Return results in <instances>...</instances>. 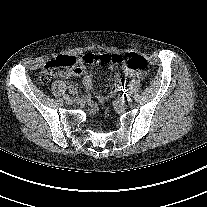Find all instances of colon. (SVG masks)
Returning a JSON list of instances; mask_svg holds the SVG:
<instances>
[{
    "mask_svg": "<svg viewBox=\"0 0 207 207\" xmlns=\"http://www.w3.org/2000/svg\"><path fill=\"white\" fill-rule=\"evenodd\" d=\"M93 62H103L111 64L124 63V65L134 71L142 72L148 67L146 59L137 54H128L126 59H123L117 54H86L81 59H77L70 55H60L47 62L44 69L40 73V82L48 84L52 77V72L57 69H66L68 72H75L79 63L91 64Z\"/></svg>",
    "mask_w": 207,
    "mask_h": 207,
    "instance_id": "1",
    "label": "colon"
}]
</instances>
